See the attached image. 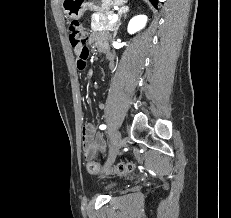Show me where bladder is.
<instances>
[{"instance_id":"1","label":"bladder","mask_w":231,"mask_h":218,"mask_svg":"<svg viewBox=\"0 0 231 218\" xmlns=\"http://www.w3.org/2000/svg\"><path fill=\"white\" fill-rule=\"evenodd\" d=\"M116 185H117L116 182H112V183H110V184L108 185V187H109V188H113V187H115Z\"/></svg>"}]
</instances>
